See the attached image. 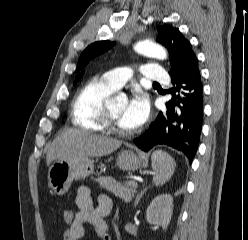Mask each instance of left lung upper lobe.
Masks as SVG:
<instances>
[{"label": "left lung upper lobe", "instance_id": "5c2ea615", "mask_svg": "<svg viewBox=\"0 0 248 240\" xmlns=\"http://www.w3.org/2000/svg\"><path fill=\"white\" fill-rule=\"evenodd\" d=\"M159 36L157 41L165 46L169 52L171 63V77L180 75L185 67L196 57L190 42L183 34L171 25L157 26ZM115 43L111 41H98L88 46L81 54L77 70L94 56L109 50Z\"/></svg>", "mask_w": 248, "mask_h": 240}]
</instances>
